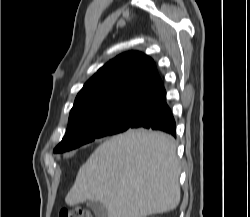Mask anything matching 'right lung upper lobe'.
<instances>
[{
	"instance_id": "right-lung-upper-lobe-1",
	"label": "right lung upper lobe",
	"mask_w": 250,
	"mask_h": 217,
	"mask_svg": "<svg viewBox=\"0 0 250 217\" xmlns=\"http://www.w3.org/2000/svg\"><path fill=\"white\" fill-rule=\"evenodd\" d=\"M163 87L150 57L137 51L123 53L85 83L75 99L69 120L120 105L140 104Z\"/></svg>"
}]
</instances>
